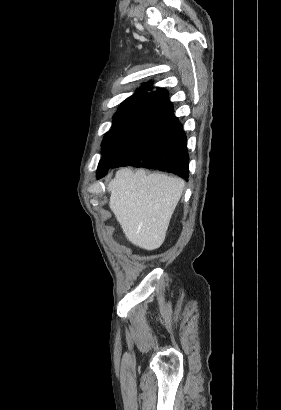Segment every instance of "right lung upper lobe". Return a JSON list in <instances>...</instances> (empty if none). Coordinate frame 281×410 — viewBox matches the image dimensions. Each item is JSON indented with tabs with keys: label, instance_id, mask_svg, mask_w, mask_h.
Wrapping results in <instances>:
<instances>
[{
	"label": "right lung upper lobe",
	"instance_id": "1",
	"mask_svg": "<svg viewBox=\"0 0 281 410\" xmlns=\"http://www.w3.org/2000/svg\"><path fill=\"white\" fill-rule=\"evenodd\" d=\"M153 87L150 82L143 84L137 91L123 101L120 106L125 105H143L168 111L173 110V105L168 99V92L164 89L158 88L155 92L148 93Z\"/></svg>",
	"mask_w": 281,
	"mask_h": 410
}]
</instances>
